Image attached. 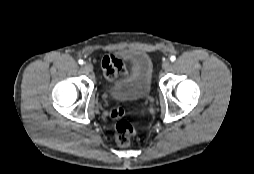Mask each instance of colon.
Masks as SVG:
<instances>
[{
  "instance_id": "obj_1",
  "label": "colon",
  "mask_w": 254,
  "mask_h": 174,
  "mask_svg": "<svg viewBox=\"0 0 254 174\" xmlns=\"http://www.w3.org/2000/svg\"><path fill=\"white\" fill-rule=\"evenodd\" d=\"M115 117L123 115L122 109H117L114 113ZM115 130V141L120 146H126L130 144L132 139L136 135V130L133 124L125 119H119L114 127Z\"/></svg>"
}]
</instances>
